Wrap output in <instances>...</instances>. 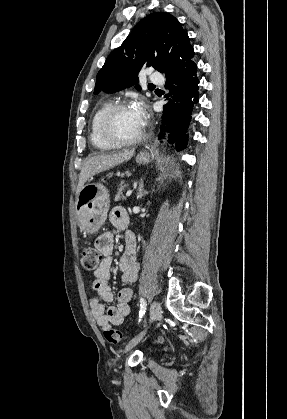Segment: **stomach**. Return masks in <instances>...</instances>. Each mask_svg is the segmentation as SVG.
Here are the masks:
<instances>
[{
  "mask_svg": "<svg viewBox=\"0 0 287 419\" xmlns=\"http://www.w3.org/2000/svg\"><path fill=\"white\" fill-rule=\"evenodd\" d=\"M151 155L145 151L136 156L138 164H147ZM109 192L100 183H86L79 192L75 211L79 225L85 232L96 233L104 224L109 210Z\"/></svg>",
  "mask_w": 287,
  "mask_h": 419,
  "instance_id": "stomach-1",
  "label": "stomach"
}]
</instances>
